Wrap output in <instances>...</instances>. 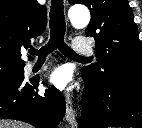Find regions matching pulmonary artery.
Instances as JSON below:
<instances>
[{
  "label": "pulmonary artery",
  "instance_id": "pulmonary-artery-1",
  "mask_svg": "<svg viewBox=\"0 0 142 128\" xmlns=\"http://www.w3.org/2000/svg\"><path fill=\"white\" fill-rule=\"evenodd\" d=\"M73 50L77 54L81 55H90L93 53V49L89 41H87L85 38L78 37L73 42ZM33 66V62H29L26 65V69L30 70Z\"/></svg>",
  "mask_w": 142,
  "mask_h": 128
}]
</instances>
